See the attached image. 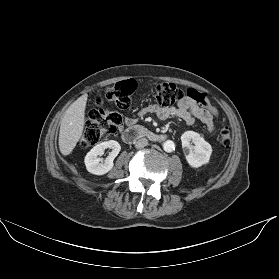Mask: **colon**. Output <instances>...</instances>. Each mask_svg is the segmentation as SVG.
I'll list each match as a JSON object with an SVG mask.
<instances>
[{"mask_svg":"<svg viewBox=\"0 0 279 279\" xmlns=\"http://www.w3.org/2000/svg\"><path fill=\"white\" fill-rule=\"evenodd\" d=\"M136 88V82L127 79L119 81L103 91V96L97 101L98 107L90 112L85 121L84 131L80 139V145L83 148L95 146L117 131L122 123V117L116 109H127L130 106ZM148 95L154 104L160 107L172 106L188 96L216 115V109L210 104L206 94L192 88L184 92L173 83H160L152 88ZM104 101L110 103L113 109L104 107ZM220 140L224 147H230L231 135L224 122L221 123L220 127Z\"/></svg>","mask_w":279,"mask_h":279,"instance_id":"colon-1","label":"colon"}]
</instances>
